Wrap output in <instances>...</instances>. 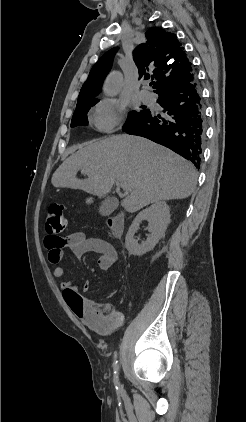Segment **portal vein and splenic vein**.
I'll use <instances>...</instances> for the list:
<instances>
[{
	"mask_svg": "<svg viewBox=\"0 0 246 422\" xmlns=\"http://www.w3.org/2000/svg\"><path fill=\"white\" fill-rule=\"evenodd\" d=\"M117 184H118L121 188H123V189H125V188H126V185H125L124 183H122V182H117Z\"/></svg>",
	"mask_w": 246,
	"mask_h": 422,
	"instance_id": "1",
	"label": "portal vein and splenic vein"
}]
</instances>
